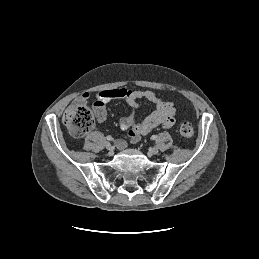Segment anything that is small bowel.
<instances>
[{
  "label": "small bowel",
  "instance_id": "obj_1",
  "mask_svg": "<svg viewBox=\"0 0 259 259\" xmlns=\"http://www.w3.org/2000/svg\"><path fill=\"white\" fill-rule=\"evenodd\" d=\"M90 99L89 93H84L75 99L74 104H86ZM113 99H124L131 111L122 116L119 126L124 131V137L118 140V148L124 149L127 141L137 143L142 136L149 134L158 127L170 128L175 124L176 108L170 101H165L150 90L140 91L126 88L105 89L95 95L93 111L98 122L106 118V103ZM147 100L156 106V110L143 120H138L135 110L140 107V101Z\"/></svg>",
  "mask_w": 259,
  "mask_h": 259
}]
</instances>
